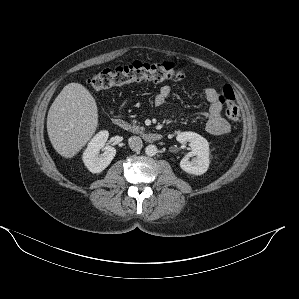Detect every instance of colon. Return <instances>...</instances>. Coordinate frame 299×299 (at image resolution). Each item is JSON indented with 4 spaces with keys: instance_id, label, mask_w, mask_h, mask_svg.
I'll return each mask as SVG.
<instances>
[{
    "instance_id": "1",
    "label": "colon",
    "mask_w": 299,
    "mask_h": 299,
    "mask_svg": "<svg viewBox=\"0 0 299 299\" xmlns=\"http://www.w3.org/2000/svg\"><path fill=\"white\" fill-rule=\"evenodd\" d=\"M185 77L184 68L173 62L161 64H147L133 62L130 65L117 67L114 70L106 69L93 75L89 81L95 90H107L135 81L163 82L166 80H181ZM218 99L225 106L227 117L238 121L240 110L236 102V96L230 85H225Z\"/></svg>"
}]
</instances>
